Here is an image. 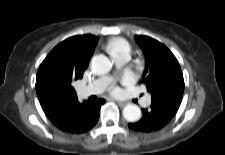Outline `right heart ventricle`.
Here are the masks:
<instances>
[{"label": "right heart ventricle", "instance_id": "1", "mask_svg": "<svg viewBox=\"0 0 225 155\" xmlns=\"http://www.w3.org/2000/svg\"><path fill=\"white\" fill-rule=\"evenodd\" d=\"M107 50L111 55L118 53L123 50L129 51V44L122 38H112L109 40L106 46Z\"/></svg>", "mask_w": 225, "mask_h": 155}]
</instances>
